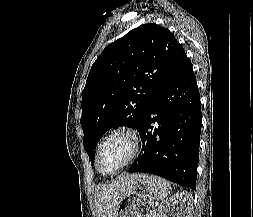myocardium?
I'll list each match as a JSON object with an SVG mask.
<instances>
[{
  "instance_id": "f54148a6",
  "label": "myocardium",
  "mask_w": 253,
  "mask_h": 217,
  "mask_svg": "<svg viewBox=\"0 0 253 217\" xmlns=\"http://www.w3.org/2000/svg\"><path fill=\"white\" fill-rule=\"evenodd\" d=\"M124 136L130 143V153L126 160L113 172L109 174L102 173L99 169V157L104 145L115 136ZM142 148L141 138L139 133L129 126H118L110 130L99 142L95 152V168L96 171L102 176H114L121 172L124 168L130 165L140 154Z\"/></svg>"
}]
</instances>
